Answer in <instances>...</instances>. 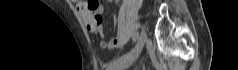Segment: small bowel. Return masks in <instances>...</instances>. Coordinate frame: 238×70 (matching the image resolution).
<instances>
[{
    "label": "small bowel",
    "instance_id": "c3829d8e",
    "mask_svg": "<svg viewBox=\"0 0 238 70\" xmlns=\"http://www.w3.org/2000/svg\"><path fill=\"white\" fill-rule=\"evenodd\" d=\"M78 12L86 25L88 31L95 33L100 38V46L104 49H114L120 45V41L118 38H114L113 40L107 42L105 40V34L103 30L102 24V8L98 3L95 5H91V2L79 1L77 3ZM116 20V17H114Z\"/></svg>",
    "mask_w": 238,
    "mask_h": 70
}]
</instances>
